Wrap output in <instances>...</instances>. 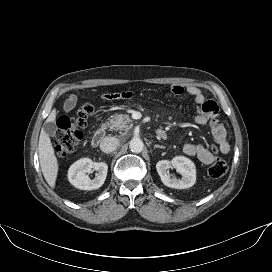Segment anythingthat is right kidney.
<instances>
[{
    "mask_svg": "<svg viewBox=\"0 0 272 272\" xmlns=\"http://www.w3.org/2000/svg\"><path fill=\"white\" fill-rule=\"evenodd\" d=\"M91 170L98 173L94 179L88 177ZM108 165L104 162H93L89 158H82L73 163L68 171V180L76 188L81 190L98 189L104 184L107 176Z\"/></svg>",
    "mask_w": 272,
    "mask_h": 272,
    "instance_id": "ca27d5eb",
    "label": "right kidney"
}]
</instances>
